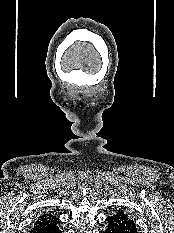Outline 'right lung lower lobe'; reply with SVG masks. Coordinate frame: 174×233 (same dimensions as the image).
Returning <instances> with one entry per match:
<instances>
[{
  "mask_svg": "<svg viewBox=\"0 0 174 233\" xmlns=\"http://www.w3.org/2000/svg\"><path fill=\"white\" fill-rule=\"evenodd\" d=\"M34 233H62L60 228L58 227V224L51 226V227H46L37 231H34Z\"/></svg>",
  "mask_w": 174,
  "mask_h": 233,
  "instance_id": "obj_1",
  "label": "right lung lower lobe"
}]
</instances>
